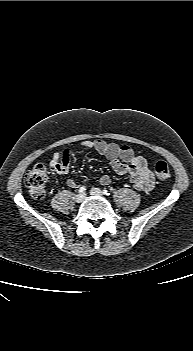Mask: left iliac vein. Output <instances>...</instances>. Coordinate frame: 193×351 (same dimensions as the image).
Segmentation results:
<instances>
[{
  "mask_svg": "<svg viewBox=\"0 0 193 351\" xmlns=\"http://www.w3.org/2000/svg\"><path fill=\"white\" fill-rule=\"evenodd\" d=\"M90 194L93 195V196H98V197H102L103 196V192L98 189V188H92L90 190Z\"/></svg>",
  "mask_w": 193,
  "mask_h": 351,
  "instance_id": "1",
  "label": "left iliac vein"
}]
</instances>
